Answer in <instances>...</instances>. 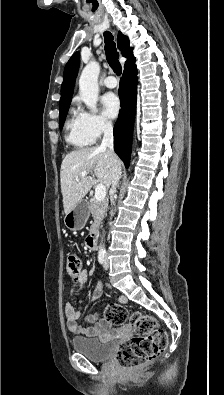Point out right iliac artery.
<instances>
[{"label": "right iliac artery", "instance_id": "1", "mask_svg": "<svg viewBox=\"0 0 224 395\" xmlns=\"http://www.w3.org/2000/svg\"><path fill=\"white\" fill-rule=\"evenodd\" d=\"M105 257H106V252L105 251H100L98 254V261L100 264H103L105 261Z\"/></svg>", "mask_w": 224, "mask_h": 395}]
</instances>
